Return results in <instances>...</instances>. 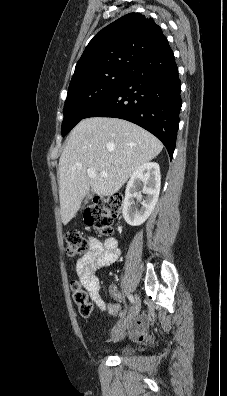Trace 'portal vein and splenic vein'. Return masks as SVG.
<instances>
[{
	"mask_svg": "<svg viewBox=\"0 0 227 396\" xmlns=\"http://www.w3.org/2000/svg\"><path fill=\"white\" fill-rule=\"evenodd\" d=\"M87 174H88V176H89L90 178H94V177L96 176V170H95L94 168H89V169L87 170ZM100 175H101L102 177H107V176H108L107 172H105V171L100 172Z\"/></svg>",
	"mask_w": 227,
	"mask_h": 396,
	"instance_id": "18ae733b",
	"label": "portal vein and splenic vein"
}]
</instances>
